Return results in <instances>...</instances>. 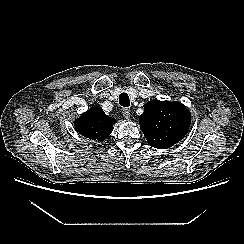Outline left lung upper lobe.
<instances>
[{"label": "left lung upper lobe", "mask_w": 244, "mask_h": 244, "mask_svg": "<svg viewBox=\"0 0 244 244\" xmlns=\"http://www.w3.org/2000/svg\"><path fill=\"white\" fill-rule=\"evenodd\" d=\"M190 122L191 114L181 102L151 100L139 117L147 142L158 149L178 143L187 134Z\"/></svg>", "instance_id": "5c2ea615"}]
</instances>
